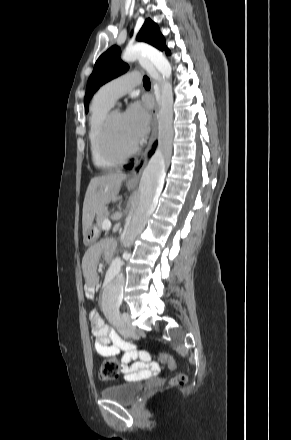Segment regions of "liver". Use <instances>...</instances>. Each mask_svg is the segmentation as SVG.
Returning a JSON list of instances; mask_svg holds the SVG:
<instances>
[{
  "label": "liver",
  "instance_id": "6515ba94",
  "mask_svg": "<svg viewBox=\"0 0 291 440\" xmlns=\"http://www.w3.org/2000/svg\"><path fill=\"white\" fill-rule=\"evenodd\" d=\"M125 179L126 174L120 171L109 172L91 179L83 203V235L92 226L95 214L117 196Z\"/></svg>",
  "mask_w": 291,
  "mask_h": 440
}]
</instances>
